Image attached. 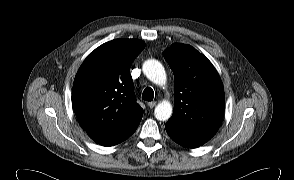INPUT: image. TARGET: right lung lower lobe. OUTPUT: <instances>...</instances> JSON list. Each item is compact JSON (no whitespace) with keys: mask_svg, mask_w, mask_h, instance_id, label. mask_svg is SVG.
<instances>
[{"mask_svg":"<svg viewBox=\"0 0 294 180\" xmlns=\"http://www.w3.org/2000/svg\"><path fill=\"white\" fill-rule=\"evenodd\" d=\"M141 118L142 116L136 119L129 127L124 129L121 133L107 139L97 140L95 142L102 146H113L123 142L135 132L141 121Z\"/></svg>","mask_w":294,"mask_h":180,"instance_id":"98d812e1","label":"right lung lower lobe"}]
</instances>
